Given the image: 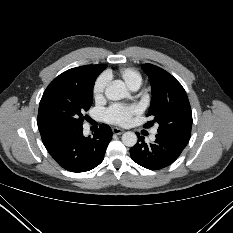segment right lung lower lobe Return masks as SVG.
Instances as JSON below:
<instances>
[{
    "instance_id": "right-lung-lower-lobe-1",
    "label": "right lung lower lobe",
    "mask_w": 233,
    "mask_h": 233,
    "mask_svg": "<svg viewBox=\"0 0 233 233\" xmlns=\"http://www.w3.org/2000/svg\"><path fill=\"white\" fill-rule=\"evenodd\" d=\"M111 139L112 130L106 124L100 125L93 138L83 136L82 127L42 137L44 146L54 160L71 172H85L98 166Z\"/></svg>"
}]
</instances>
